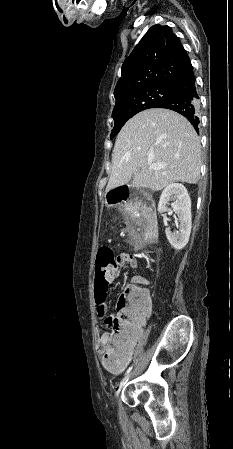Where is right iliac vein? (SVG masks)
I'll return each instance as SVG.
<instances>
[{"label": "right iliac vein", "mask_w": 233, "mask_h": 449, "mask_svg": "<svg viewBox=\"0 0 233 449\" xmlns=\"http://www.w3.org/2000/svg\"><path fill=\"white\" fill-rule=\"evenodd\" d=\"M132 375H133V372L128 373V374L123 378V380L120 382V384H119V386H118V388H117V390H116V397L119 396V393H120L121 389H122V388L124 387V385L129 381V379L132 377Z\"/></svg>", "instance_id": "right-iliac-vein-1"}]
</instances>
